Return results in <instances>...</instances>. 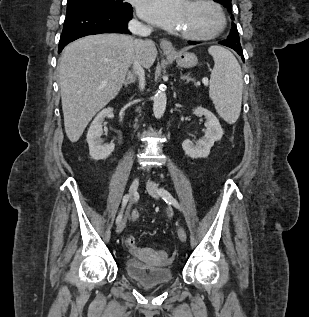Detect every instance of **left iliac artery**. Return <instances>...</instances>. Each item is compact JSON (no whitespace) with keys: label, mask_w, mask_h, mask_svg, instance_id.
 Returning a JSON list of instances; mask_svg holds the SVG:
<instances>
[{"label":"left iliac artery","mask_w":309,"mask_h":317,"mask_svg":"<svg viewBox=\"0 0 309 317\" xmlns=\"http://www.w3.org/2000/svg\"><path fill=\"white\" fill-rule=\"evenodd\" d=\"M158 193L166 203L172 204L175 208L181 210V206L178 201L166 189L160 188Z\"/></svg>","instance_id":"left-iliac-artery-1"}]
</instances>
